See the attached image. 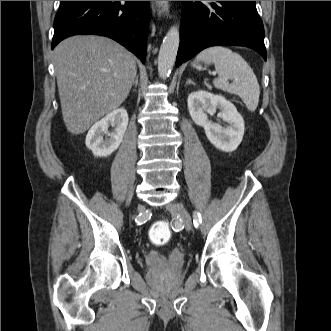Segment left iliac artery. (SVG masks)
<instances>
[{
	"instance_id": "obj_1",
	"label": "left iliac artery",
	"mask_w": 331,
	"mask_h": 331,
	"mask_svg": "<svg viewBox=\"0 0 331 331\" xmlns=\"http://www.w3.org/2000/svg\"><path fill=\"white\" fill-rule=\"evenodd\" d=\"M202 220H201V215L199 212H194V219H193V223L194 226L197 228L199 227V225L201 224Z\"/></svg>"
}]
</instances>
